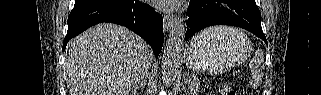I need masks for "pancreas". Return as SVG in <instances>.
Instances as JSON below:
<instances>
[{"label":"pancreas","instance_id":"1","mask_svg":"<svg viewBox=\"0 0 321 95\" xmlns=\"http://www.w3.org/2000/svg\"><path fill=\"white\" fill-rule=\"evenodd\" d=\"M185 82L188 85L189 92L195 95L199 90V80L195 76H191L190 78L186 79Z\"/></svg>","mask_w":321,"mask_h":95}]
</instances>
